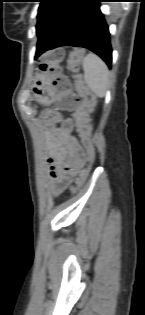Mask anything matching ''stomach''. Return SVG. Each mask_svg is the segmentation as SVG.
<instances>
[{
    "label": "stomach",
    "instance_id": "stomach-1",
    "mask_svg": "<svg viewBox=\"0 0 145 315\" xmlns=\"http://www.w3.org/2000/svg\"><path fill=\"white\" fill-rule=\"evenodd\" d=\"M44 73H37L36 84H32L31 97L35 98L38 102L49 105L53 101V95L49 92L51 87H45ZM37 114L40 117L41 122H48V116H56V109H39Z\"/></svg>",
    "mask_w": 145,
    "mask_h": 315
}]
</instances>
